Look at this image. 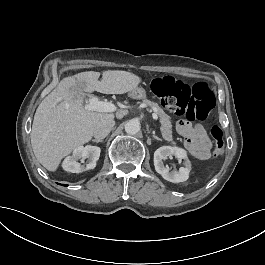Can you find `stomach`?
Here are the masks:
<instances>
[{"instance_id":"obj_1","label":"stomach","mask_w":265,"mask_h":265,"mask_svg":"<svg viewBox=\"0 0 265 265\" xmlns=\"http://www.w3.org/2000/svg\"><path fill=\"white\" fill-rule=\"evenodd\" d=\"M129 96L133 99H146L147 93L146 90L143 88H135Z\"/></svg>"}]
</instances>
